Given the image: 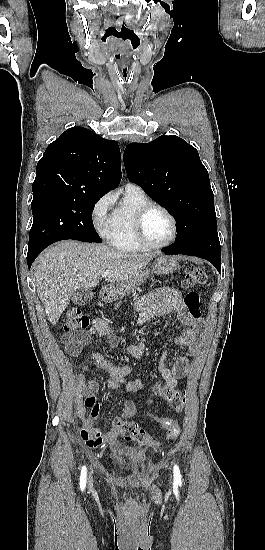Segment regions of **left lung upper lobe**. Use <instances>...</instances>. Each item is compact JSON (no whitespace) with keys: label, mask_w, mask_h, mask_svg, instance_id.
Returning a JSON list of instances; mask_svg holds the SVG:
<instances>
[{"label":"left lung upper lobe","mask_w":265,"mask_h":550,"mask_svg":"<svg viewBox=\"0 0 265 550\" xmlns=\"http://www.w3.org/2000/svg\"><path fill=\"white\" fill-rule=\"evenodd\" d=\"M123 158L128 178L175 218L174 246L221 257L214 195L198 151L177 136L163 135L129 144Z\"/></svg>","instance_id":"1"}]
</instances>
